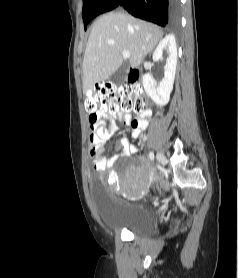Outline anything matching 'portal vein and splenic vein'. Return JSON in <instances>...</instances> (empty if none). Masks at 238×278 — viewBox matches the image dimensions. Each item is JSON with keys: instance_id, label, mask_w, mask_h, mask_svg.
I'll return each mask as SVG.
<instances>
[{"instance_id": "portal-vein-and-splenic-vein-1", "label": "portal vein and splenic vein", "mask_w": 238, "mask_h": 278, "mask_svg": "<svg viewBox=\"0 0 238 278\" xmlns=\"http://www.w3.org/2000/svg\"><path fill=\"white\" fill-rule=\"evenodd\" d=\"M122 56H123V58L128 59V58H130V52L129 51H123Z\"/></svg>"}]
</instances>
